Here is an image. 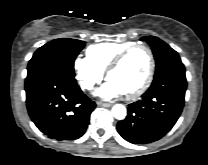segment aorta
Here are the masks:
<instances>
[{"instance_id":"obj_1","label":"aorta","mask_w":208,"mask_h":165,"mask_svg":"<svg viewBox=\"0 0 208 165\" xmlns=\"http://www.w3.org/2000/svg\"><path fill=\"white\" fill-rule=\"evenodd\" d=\"M112 114L118 120H123L126 117L127 111L124 105L115 104L112 107Z\"/></svg>"}]
</instances>
